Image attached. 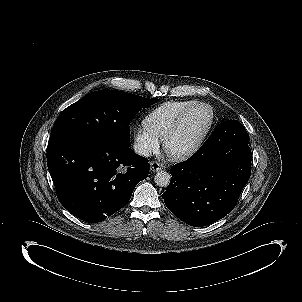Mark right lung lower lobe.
I'll return each mask as SVG.
<instances>
[{"label":"right lung lower lobe","instance_id":"1","mask_svg":"<svg viewBox=\"0 0 302 302\" xmlns=\"http://www.w3.org/2000/svg\"><path fill=\"white\" fill-rule=\"evenodd\" d=\"M47 165L61 204L90 223L124 207L150 169L129 146L96 135L49 142Z\"/></svg>","mask_w":302,"mask_h":302}]
</instances>
